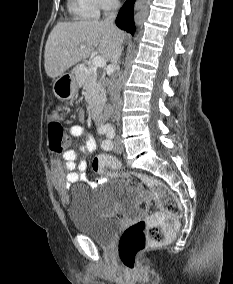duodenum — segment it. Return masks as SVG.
Wrapping results in <instances>:
<instances>
[{
    "label": "duodenum",
    "mask_w": 233,
    "mask_h": 284,
    "mask_svg": "<svg viewBox=\"0 0 233 284\" xmlns=\"http://www.w3.org/2000/svg\"><path fill=\"white\" fill-rule=\"evenodd\" d=\"M91 117L95 121L97 125L104 127V115H103V108L100 105H94L91 108Z\"/></svg>",
    "instance_id": "410a0bca"
}]
</instances>
